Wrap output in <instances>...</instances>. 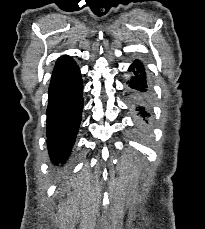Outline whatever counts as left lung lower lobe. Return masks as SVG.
Masks as SVG:
<instances>
[{"label":"left lung lower lobe","mask_w":205,"mask_h":229,"mask_svg":"<svg viewBox=\"0 0 205 229\" xmlns=\"http://www.w3.org/2000/svg\"><path fill=\"white\" fill-rule=\"evenodd\" d=\"M133 75L127 82L129 94L132 97V109L139 116V127L142 131H145L146 124H148V118L150 113L146 106V95L148 93V84L146 78L145 68L141 61H135L128 69Z\"/></svg>","instance_id":"obj_1"}]
</instances>
